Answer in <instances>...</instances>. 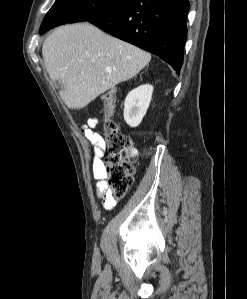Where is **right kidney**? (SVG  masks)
<instances>
[{
  "mask_svg": "<svg viewBox=\"0 0 247 299\" xmlns=\"http://www.w3.org/2000/svg\"><path fill=\"white\" fill-rule=\"evenodd\" d=\"M153 93V86L141 85L133 89L124 102V120L130 127H137L150 105Z\"/></svg>",
  "mask_w": 247,
  "mask_h": 299,
  "instance_id": "right-kidney-1",
  "label": "right kidney"
}]
</instances>
